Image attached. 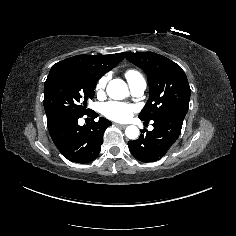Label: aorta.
Returning <instances> with one entry per match:
<instances>
[{"label":"aorta","mask_w":236,"mask_h":236,"mask_svg":"<svg viewBox=\"0 0 236 236\" xmlns=\"http://www.w3.org/2000/svg\"><path fill=\"white\" fill-rule=\"evenodd\" d=\"M121 86H126L125 82L120 79H113L109 82L107 86V94L114 99V94H119V89ZM140 134V131L137 126L129 125L125 129V135L127 138L135 140Z\"/></svg>","instance_id":"aorta-1"}]
</instances>
